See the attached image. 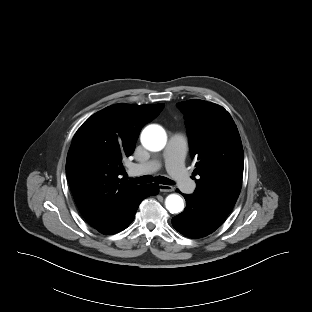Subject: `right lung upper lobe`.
I'll return each instance as SVG.
<instances>
[{"label": "right lung upper lobe", "mask_w": 312, "mask_h": 312, "mask_svg": "<svg viewBox=\"0 0 312 312\" xmlns=\"http://www.w3.org/2000/svg\"><path fill=\"white\" fill-rule=\"evenodd\" d=\"M164 108L111 105L89 117L71 143L66 175L78 209L95 229L113 222L140 188L120 178L123 159L135 147L142 127Z\"/></svg>", "instance_id": "right-lung-upper-lobe-1"}]
</instances>
